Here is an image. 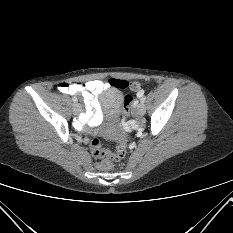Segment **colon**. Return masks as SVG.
<instances>
[{
	"instance_id": "1",
	"label": "colon",
	"mask_w": 233,
	"mask_h": 233,
	"mask_svg": "<svg viewBox=\"0 0 233 233\" xmlns=\"http://www.w3.org/2000/svg\"><path fill=\"white\" fill-rule=\"evenodd\" d=\"M110 84L112 86L121 88V89H128L130 91L137 92L140 90V86L134 82H128L125 80L119 79H111ZM132 104V96L126 95L123 100V118L126 126H129L130 123V106ZM128 147V132L124 134L122 139L120 140L116 151L111 153L107 150H104L101 147V143L98 139H93L90 143V150L92 155L98 159H104L101 163V168L108 169L112 162H117L122 160L127 152Z\"/></svg>"
}]
</instances>
